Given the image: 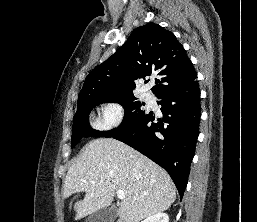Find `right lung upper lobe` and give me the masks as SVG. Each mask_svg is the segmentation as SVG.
I'll use <instances>...</instances> for the list:
<instances>
[{"label":"right lung upper lobe","mask_w":257,"mask_h":222,"mask_svg":"<svg viewBox=\"0 0 257 222\" xmlns=\"http://www.w3.org/2000/svg\"><path fill=\"white\" fill-rule=\"evenodd\" d=\"M157 74L153 93L182 85L197 73L175 35L158 24L136 28L128 40L87 76L78 103L95 96L133 95L134 80Z\"/></svg>","instance_id":"cb5924a9"}]
</instances>
